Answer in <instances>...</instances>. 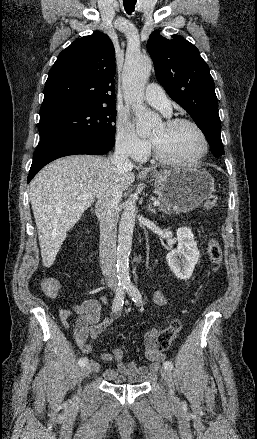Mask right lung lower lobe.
I'll use <instances>...</instances> for the list:
<instances>
[{"instance_id": "98d812e1", "label": "right lung lower lobe", "mask_w": 257, "mask_h": 439, "mask_svg": "<svg viewBox=\"0 0 257 439\" xmlns=\"http://www.w3.org/2000/svg\"><path fill=\"white\" fill-rule=\"evenodd\" d=\"M114 143L88 135L63 133L40 140L28 175V183L49 162L68 155H102L109 152Z\"/></svg>"}]
</instances>
